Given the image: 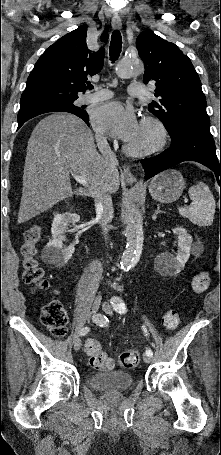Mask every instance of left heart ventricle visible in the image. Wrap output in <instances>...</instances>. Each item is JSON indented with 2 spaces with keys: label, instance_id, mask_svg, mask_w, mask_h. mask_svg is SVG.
I'll use <instances>...</instances> for the list:
<instances>
[{
  "label": "left heart ventricle",
  "instance_id": "left-heart-ventricle-1",
  "mask_svg": "<svg viewBox=\"0 0 221 455\" xmlns=\"http://www.w3.org/2000/svg\"><path fill=\"white\" fill-rule=\"evenodd\" d=\"M153 138L154 135L152 130L140 125L137 134L129 142L135 145H144L152 142Z\"/></svg>",
  "mask_w": 221,
  "mask_h": 455
}]
</instances>
